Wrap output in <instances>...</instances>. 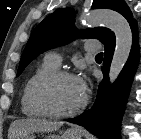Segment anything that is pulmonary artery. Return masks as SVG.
Wrapping results in <instances>:
<instances>
[{
  "label": "pulmonary artery",
  "mask_w": 141,
  "mask_h": 139,
  "mask_svg": "<svg viewBox=\"0 0 141 139\" xmlns=\"http://www.w3.org/2000/svg\"><path fill=\"white\" fill-rule=\"evenodd\" d=\"M84 49L87 52L95 53L100 50V44L96 41H87ZM46 59L57 67L61 64V56L56 52L48 53Z\"/></svg>",
  "instance_id": "pulmonary-artery-1"
}]
</instances>
